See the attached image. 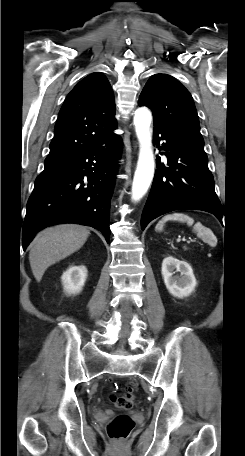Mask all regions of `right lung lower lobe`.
Segmentation results:
<instances>
[{"instance_id": "1", "label": "right lung lower lobe", "mask_w": 245, "mask_h": 456, "mask_svg": "<svg viewBox=\"0 0 245 456\" xmlns=\"http://www.w3.org/2000/svg\"><path fill=\"white\" fill-rule=\"evenodd\" d=\"M119 157L120 138L112 133L79 155L45 167L27 203L23 249L39 230L59 223L91 226L109 242L110 200Z\"/></svg>"}]
</instances>
